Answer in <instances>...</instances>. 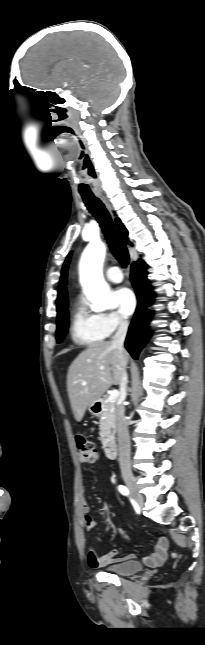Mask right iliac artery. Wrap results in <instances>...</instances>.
Returning <instances> with one entry per match:
<instances>
[{
  "mask_svg": "<svg viewBox=\"0 0 205 645\" xmlns=\"http://www.w3.org/2000/svg\"><path fill=\"white\" fill-rule=\"evenodd\" d=\"M118 489H119V491H120V493H121V494H123V495H129V490H128L125 486L120 485V486L118 487Z\"/></svg>",
  "mask_w": 205,
  "mask_h": 645,
  "instance_id": "82829eb1",
  "label": "right iliac artery"
}]
</instances>
